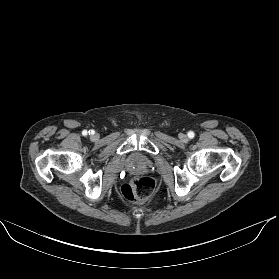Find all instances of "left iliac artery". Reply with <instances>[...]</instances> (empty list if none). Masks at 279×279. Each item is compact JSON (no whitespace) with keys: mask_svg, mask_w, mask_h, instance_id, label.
I'll return each mask as SVG.
<instances>
[{"mask_svg":"<svg viewBox=\"0 0 279 279\" xmlns=\"http://www.w3.org/2000/svg\"><path fill=\"white\" fill-rule=\"evenodd\" d=\"M188 137H189V138H193V137H194V132L190 131V132L188 133Z\"/></svg>","mask_w":279,"mask_h":279,"instance_id":"obj_1","label":"left iliac artery"}]
</instances>
